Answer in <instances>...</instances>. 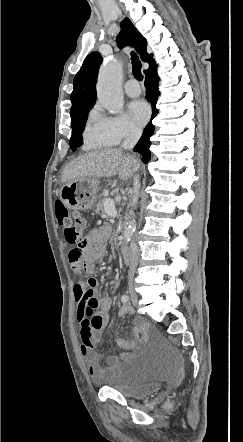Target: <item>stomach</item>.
I'll list each match as a JSON object with an SVG mask.
<instances>
[{
    "mask_svg": "<svg viewBox=\"0 0 243 442\" xmlns=\"http://www.w3.org/2000/svg\"><path fill=\"white\" fill-rule=\"evenodd\" d=\"M99 184L96 178L73 179L62 186L59 197L69 209L85 211L96 201Z\"/></svg>",
    "mask_w": 243,
    "mask_h": 442,
    "instance_id": "1",
    "label": "stomach"
}]
</instances>
